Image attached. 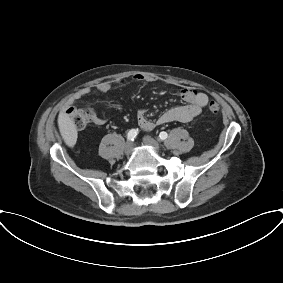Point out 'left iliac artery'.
Segmentation results:
<instances>
[{
	"mask_svg": "<svg viewBox=\"0 0 283 283\" xmlns=\"http://www.w3.org/2000/svg\"><path fill=\"white\" fill-rule=\"evenodd\" d=\"M167 137H168V134L165 131L160 132L159 139L165 140L167 139Z\"/></svg>",
	"mask_w": 283,
	"mask_h": 283,
	"instance_id": "obj_1",
	"label": "left iliac artery"
}]
</instances>
